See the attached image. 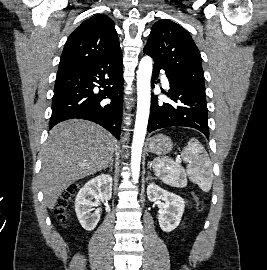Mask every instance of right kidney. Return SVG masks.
Segmentation results:
<instances>
[{
  "mask_svg": "<svg viewBox=\"0 0 267 270\" xmlns=\"http://www.w3.org/2000/svg\"><path fill=\"white\" fill-rule=\"evenodd\" d=\"M111 197L112 177L106 174L94 177L79 190L75 199V211L85 230L92 231L100 220V211L93 207L98 206L99 201H108Z\"/></svg>",
  "mask_w": 267,
  "mask_h": 270,
  "instance_id": "obj_1",
  "label": "right kidney"
}]
</instances>
